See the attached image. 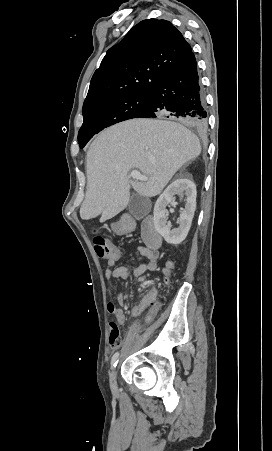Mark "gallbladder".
<instances>
[{"label": "gallbladder", "mask_w": 272, "mask_h": 451, "mask_svg": "<svg viewBox=\"0 0 272 451\" xmlns=\"http://www.w3.org/2000/svg\"><path fill=\"white\" fill-rule=\"evenodd\" d=\"M147 198H142L139 194H133L130 198L128 210L136 220H141L144 216H147L149 208L147 206Z\"/></svg>", "instance_id": "gallbladder-1"}]
</instances>
